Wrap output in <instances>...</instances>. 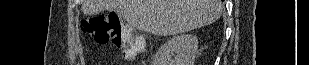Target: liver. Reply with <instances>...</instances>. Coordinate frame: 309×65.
<instances>
[{"label":"liver","instance_id":"6515ba94","mask_svg":"<svg viewBox=\"0 0 309 65\" xmlns=\"http://www.w3.org/2000/svg\"><path fill=\"white\" fill-rule=\"evenodd\" d=\"M221 0H84L85 15L115 10L129 25L158 36L184 33L217 21Z\"/></svg>","mask_w":309,"mask_h":65}]
</instances>
